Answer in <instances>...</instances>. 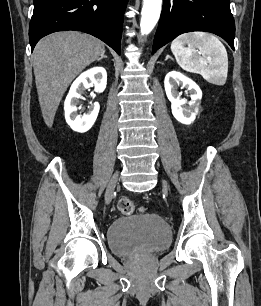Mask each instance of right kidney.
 I'll use <instances>...</instances> for the list:
<instances>
[{"mask_svg": "<svg viewBox=\"0 0 261 306\" xmlns=\"http://www.w3.org/2000/svg\"><path fill=\"white\" fill-rule=\"evenodd\" d=\"M107 84V73L103 67H94L82 73L71 85L64 102L65 119L76 132H87L97 119L100 105L95 102L92 109L83 116L77 114V105L84 89L94 86L95 91L102 93Z\"/></svg>", "mask_w": 261, "mask_h": 306, "instance_id": "1", "label": "right kidney"}]
</instances>
